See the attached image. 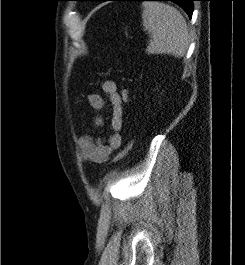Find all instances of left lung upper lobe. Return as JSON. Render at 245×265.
Listing matches in <instances>:
<instances>
[{
    "instance_id": "1",
    "label": "left lung upper lobe",
    "mask_w": 245,
    "mask_h": 265,
    "mask_svg": "<svg viewBox=\"0 0 245 265\" xmlns=\"http://www.w3.org/2000/svg\"><path fill=\"white\" fill-rule=\"evenodd\" d=\"M87 1H91V0H87ZM93 1H101V0H93Z\"/></svg>"
}]
</instances>
